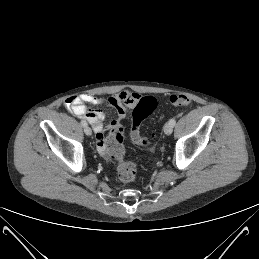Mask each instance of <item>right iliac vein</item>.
I'll return each mask as SVG.
<instances>
[{"instance_id":"obj_1","label":"right iliac vein","mask_w":259,"mask_h":259,"mask_svg":"<svg viewBox=\"0 0 259 259\" xmlns=\"http://www.w3.org/2000/svg\"><path fill=\"white\" fill-rule=\"evenodd\" d=\"M84 132L87 136H91V134H92V130L89 126L84 127Z\"/></svg>"}]
</instances>
